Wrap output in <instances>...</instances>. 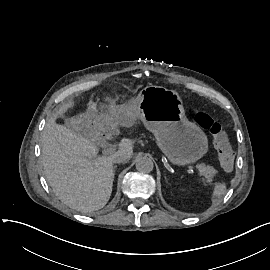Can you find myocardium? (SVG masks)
Listing matches in <instances>:
<instances>
[{
	"label": "myocardium",
	"mask_w": 270,
	"mask_h": 270,
	"mask_svg": "<svg viewBox=\"0 0 270 270\" xmlns=\"http://www.w3.org/2000/svg\"><path fill=\"white\" fill-rule=\"evenodd\" d=\"M188 126L195 132V134L197 135V137H198V139L200 141V144L203 145L204 141H205V137L202 134V132L198 128H196L195 126H191V125H188ZM179 140L180 139L173 140V144H172L173 149H175V150L180 149V141Z\"/></svg>",
	"instance_id": "1"
}]
</instances>
